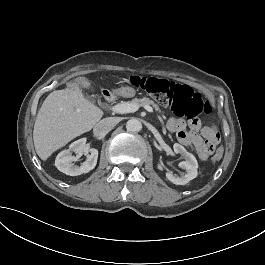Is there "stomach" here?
Wrapping results in <instances>:
<instances>
[{
  "instance_id": "obj_1",
  "label": "stomach",
  "mask_w": 265,
  "mask_h": 265,
  "mask_svg": "<svg viewBox=\"0 0 265 265\" xmlns=\"http://www.w3.org/2000/svg\"><path fill=\"white\" fill-rule=\"evenodd\" d=\"M120 92H121V95L125 97H132L135 94V90L128 86L121 88Z\"/></svg>"
}]
</instances>
